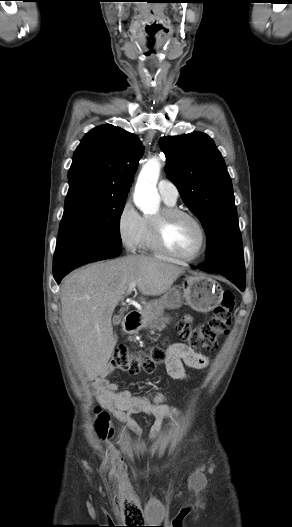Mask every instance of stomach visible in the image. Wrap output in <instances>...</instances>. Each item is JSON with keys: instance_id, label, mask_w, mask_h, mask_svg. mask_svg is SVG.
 Wrapping results in <instances>:
<instances>
[{"instance_id": "1", "label": "stomach", "mask_w": 292, "mask_h": 527, "mask_svg": "<svg viewBox=\"0 0 292 527\" xmlns=\"http://www.w3.org/2000/svg\"><path fill=\"white\" fill-rule=\"evenodd\" d=\"M222 294L221 287L212 278L203 274L186 276L178 287L171 288L159 300L145 305L140 328L152 326L165 308L178 309L186 304L195 311L209 312L219 305Z\"/></svg>"}]
</instances>
